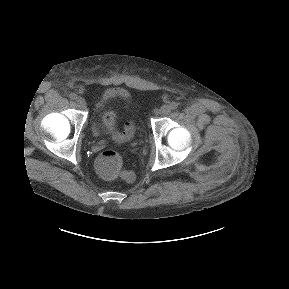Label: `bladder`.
<instances>
[{
    "label": "bladder",
    "mask_w": 289,
    "mask_h": 289,
    "mask_svg": "<svg viewBox=\"0 0 289 289\" xmlns=\"http://www.w3.org/2000/svg\"><path fill=\"white\" fill-rule=\"evenodd\" d=\"M118 96L112 90L106 91L96 105L92 128L95 134L102 135L111 130L118 119L117 110L112 107L111 102Z\"/></svg>",
    "instance_id": "1"
}]
</instances>
